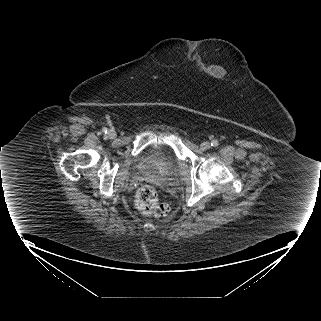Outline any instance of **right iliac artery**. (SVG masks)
<instances>
[{
  "label": "right iliac artery",
  "mask_w": 321,
  "mask_h": 321,
  "mask_svg": "<svg viewBox=\"0 0 321 321\" xmlns=\"http://www.w3.org/2000/svg\"><path fill=\"white\" fill-rule=\"evenodd\" d=\"M103 131H104V133H107V129L106 128Z\"/></svg>",
  "instance_id": "1"
}]
</instances>
